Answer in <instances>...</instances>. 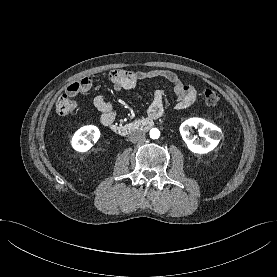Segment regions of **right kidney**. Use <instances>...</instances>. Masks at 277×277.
<instances>
[{
  "label": "right kidney",
  "mask_w": 277,
  "mask_h": 277,
  "mask_svg": "<svg viewBox=\"0 0 277 277\" xmlns=\"http://www.w3.org/2000/svg\"><path fill=\"white\" fill-rule=\"evenodd\" d=\"M100 137L99 129L94 125H88L78 129L72 137V147L79 152H86L92 147V142H97Z\"/></svg>",
  "instance_id": "ca27d5eb"
}]
</instances>
